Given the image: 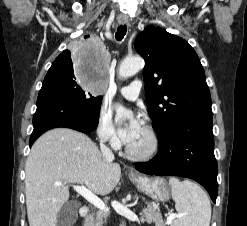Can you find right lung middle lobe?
Instances as JSON below:
<instances>
[{"instance_id": "dd1d6c3e", "label": "right lung middle lobe", "mask_w": 247, "mask_h": 226, "mask_svg": "<svg viewBox=\"0 0 247 226\" xmlns=\"http://www.w3.org/2000/svg\"><path fill=\"white\" fill-rule=\"evenodd\" d=\"M74 62L71 55L57 62L55 66L50 67L43 83L57 84L91 110L100 111L102 96H96L78 86V78H75V70H73Z\"/></svg>"}]
</instances>
